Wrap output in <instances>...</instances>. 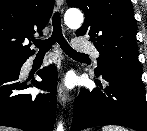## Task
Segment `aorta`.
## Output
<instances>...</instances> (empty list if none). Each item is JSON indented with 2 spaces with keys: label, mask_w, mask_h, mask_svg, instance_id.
Here are the masks:
<instances>
[{
  "label": "aorta",
  "mask_w": 147,
  "mask_h": 131,
  "mask_svg": "<svg viewBox=\"0 0 147 131\" xmlns=\"http://www.w3.org/2000/svg\"><path fill=\"white\" fill-rule=\"evenodd\" d=\"M68 27H79L83 22V14L78 9H69L64 15ZM57 131H64L62 123L57 126Z\"/></svg>",
  "instance_id": "obj_1"
}]
</instances>
